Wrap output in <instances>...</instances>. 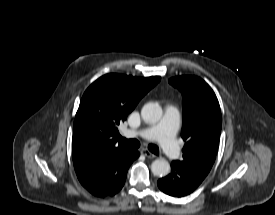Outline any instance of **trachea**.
<instances>
[{
  "mask_svg": "<svg viewBox=\"0 0 275 215\" xmlns=\"http://www.w3.org/2000/svg\"><path fill=\"white\" fill-rule=\"evenodd\" d=\"M118 139L127 147L132 148V149H137L140 146V143L138 140L136 139H126L123 138L122 136H118ZM148 149L150 150V152L154 153L155 155H159V148L158 146L154 145V144H150L148 145Z\"/></svg>",
  "mask_w": 275,
  "mask_h": 215,
  "instance_id": "trachea-1",
  "label": "trachea"
}]
</instances>
